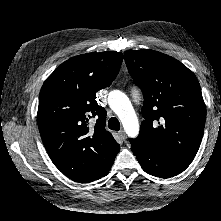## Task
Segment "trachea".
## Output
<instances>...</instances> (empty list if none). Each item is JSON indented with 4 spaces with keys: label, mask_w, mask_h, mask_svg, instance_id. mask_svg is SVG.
Returning a JSON list of instances; mask_svg holds the SVG:
<instances>
[{
    "label": "trachea",
    "mask_w": 221,
    "mask_h": 221,
    "mask_svg": "<svg viewBox=\"0 0 221 221\" xmlns=\"http://www.w3.org/2000/svg\"><path fill=\"white\" fill-rule=\"evenodd\" d=\"M108 127L111 130L118 131L120 130V122L117 118L111 117L108 121Z\"/></svg>",
    "instance_id": "obj_1"
}]
</instances>
